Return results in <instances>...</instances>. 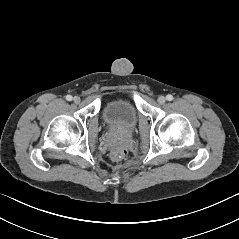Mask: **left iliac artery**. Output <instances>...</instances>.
Segmentation results:
<instances>
[{"instance_id":"obj_1","label":"left iliac artery","mask_w":239,"mask_h":239,"mask_svg":"<svg viewBox=\"0 0 239 239\" xmlns=\"http://www.w3.org/2000/svg\"><path fill=\"white\" fill-rule=\"evenodd\" d=\"M166 99H167L168 101H172V100H173V96H172L171 94H168V95L166 96Z\"/></svg>"}]
</instances>
